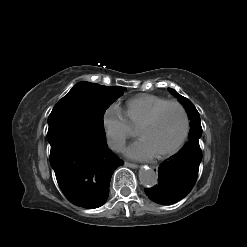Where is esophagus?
Segmentation results:
<instances>
[{"mask_svg":"<svg viewBox=\"0 0 247 247\" xmlns=\"http://www.w3.org/2000/svg\"><path fill=\"white\" fill-rule=\"evenodd\" d=\"M125 165L130 167V168H138L139 167L137 164L130 163V162H125Z\"/></svg>","mask_w":247,"mask_h":247,"instance_id":"esophagus-1","label":"esophagus"}]
</instances>
